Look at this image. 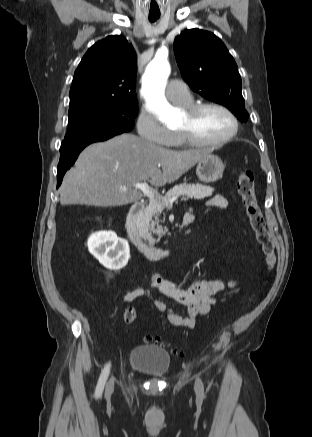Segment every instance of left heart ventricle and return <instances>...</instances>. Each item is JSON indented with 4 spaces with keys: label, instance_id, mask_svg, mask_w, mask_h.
<instances>
[{
    "label": "left heart ventricle",
    "instance_id": "1",
    "mask_svg": "<svg viewBox=\"0 0 312 437\" xmlns=\"http://www.w3.org/2000/svg\"><path fill=\"white\" fill-rule=\"evenodd\" d=\"M190 128L203 140H215L226 136L232 128L229 117L219 109L207 108L189 119L186 113L180 119L178 129Z\"/></svg>",
    "mask_w": 312,
    "mask_h": 437
}]
</instances>
